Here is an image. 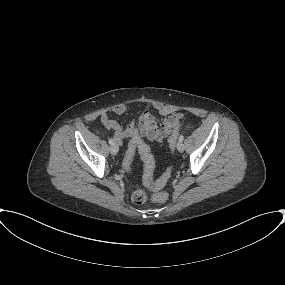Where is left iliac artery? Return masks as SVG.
Returning <instances> with one entry per match:
<instances>
[{
    "mask_svg": "<svg viewBox=\"0 0 285 285\" xmlns=\"http://www.w3.org/2000/svg\"><path fill=\"white\" fill-rule=\"evenodd\" d=\"M184 140V136L183 135H180V137H179V141H183Z\"/></svg>",
    "mask_w": 285,
    "mask_h": 285,
    "instance_id": "44dca946",
    "label": "left iliac artery"
}]
</instances>
